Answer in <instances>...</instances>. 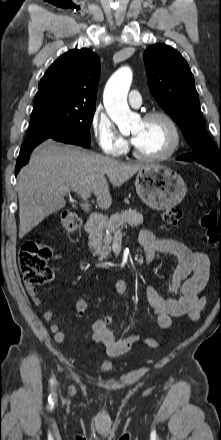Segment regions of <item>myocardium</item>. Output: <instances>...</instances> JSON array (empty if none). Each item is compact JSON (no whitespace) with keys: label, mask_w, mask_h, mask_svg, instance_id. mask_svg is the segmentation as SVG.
<instances>
[{"label":"myocardium","mask_w":221,"mask_h":440,"mask_svg":"<svg viewBox=\"0 0 221 440\" xmlns=\"http://www.w3.org/2000/svg\"><path fill=\"white\" fill-rule=\"evenodd\" d=\"M154 118L163 119L171 130V143L169 147L162 153L155 155H148L140 152L137 147L133 146V154L136 158L144 161H163L170 158L178 150L181 142V134L179 127L173 117L165 111L153 110L144 114L142 120L147 121Z\"/></svg>","instance_id":"1"}]
</instances>
